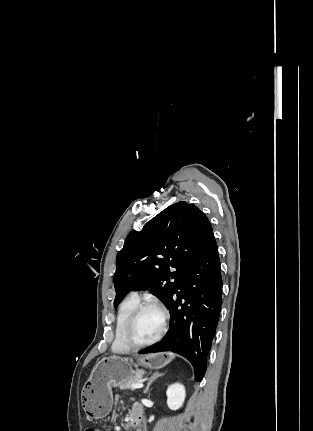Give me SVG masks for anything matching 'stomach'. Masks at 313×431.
<instances>
[{
    "mask_svg": "<svg viewBox=\"0 0 313 431\" xmlns=\"http://www.w3.org/2000/svg\"><path fill=\"white\" fill-rule=\"evenodd\" d=\"M174 359L171 354H148L133 359L119 356L102 358L94 367L89 379L82 389V405L91 419H102L109 414L113 404L112 387L119 382L134 377L137 368L142 366L150 369H160Z\"/></svg>",
    "mask_w": 313,
    "mask_h": 431,
    "instance_id": "obj_1",
    "label": "stomach"
}]
</instances>
